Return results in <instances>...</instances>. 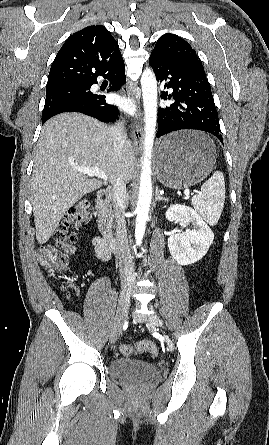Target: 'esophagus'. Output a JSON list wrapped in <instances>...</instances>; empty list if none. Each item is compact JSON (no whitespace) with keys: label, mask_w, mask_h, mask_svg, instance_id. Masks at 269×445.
I'll return each instance as SVG.
<instances>
[{"label":"esophagus","mask_w":269,"mask_h":445,"mask_svg":"<svg viewBox=\"0 0 269 445\" xmlns=\"http://www.w3.org/2000/svg\"><path fill=\"white\" fill-rule=\"evenodd\" d=\"M122 94L132 97L137 104L140 103V92L138 89L133 88L131 86H126L122 88ZM131 138L133 140L134 145L138 148L142 146L143 143V129L139 124H136L131 128L130 132Z\"/></svg>","instance_id":"esophagus-1"}]
</instances>
